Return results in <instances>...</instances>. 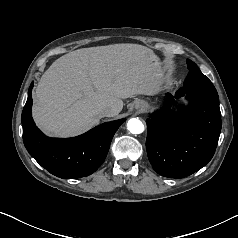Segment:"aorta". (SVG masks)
<instances>
[{"label": "aorta", "mask_w": 238, "mask_h": 238, "mask_svg": "<svg viewBox=\"0 0 238 238\" xmlns=\"http://www.w3.org/2000/svg\"><path fill=\"white\" fill-rule=\"evenodd\" d=\"M127 129L132 134H141L144 131V124L138 118H131L127 123Z\"/></svg>", "instance_id": "aorta-1"}]
</instances>
